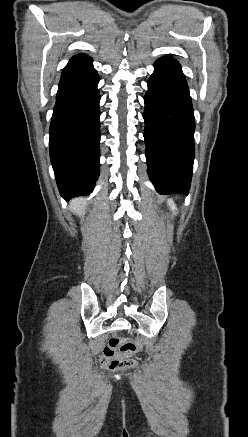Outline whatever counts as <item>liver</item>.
I'll return each instance as SVG.
<instances>
[{
	"instance_id": "obj_1",
	"label": "liver",
	"mask_w": 248,
	"mask_h": 437,
	"mask_svg": "<svg viewBox=\"0 0 248 437\" xmlns=\"http://www.w3.org/2000/svg\"><path fill=\"white\" fill-rule=\"evenodd\" d=\"M86 208V203L82 198H77L72 200L70 203V210L77 215L84 214Z\"/></svg>"
}]
</instances>
